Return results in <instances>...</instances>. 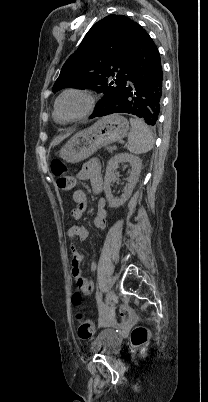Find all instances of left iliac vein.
Listing matches in <instances>:
<instances>
[{
	"label": "left iliac vein",
	"instance_id": "4c4485c4",
	"mask_svg": "<svg viewBox=\"0 0 208 402\" xmlns=\"http://www.w3.org/2000/svg\"><path fill=\"white\" fill-rule=\"evenodd\" d=\"M114 298H115L114 291L113 290L108 291V293L106 295V299H105L106 307H109L110 305H112Z\"/></svg>",
	"mask_w": 208,
	"mask_h": 402
}]
</instances>
